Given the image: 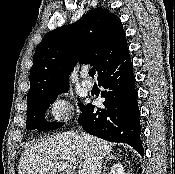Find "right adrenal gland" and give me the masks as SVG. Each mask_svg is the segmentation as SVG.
Returning a JSON list of instances; mask_svg holds the SVG:
<instances>
[{
    "instance_id": "obj_1",
    "label": "right adrenal gland",
    "mask_w": 175,
    "mask_h": 174,
    "mask_svg": "<svg viewBox=\"0 0 175 174\" xmlns=\"http://www.w3.org/2000/svg\"><path fill=\"white\" fill-rule=\"evenodd\" d=\"M113 159L116 160L117 158L114 155H111V156L105 158V162H104V165H103V173L102 174H105V172H106V164H107V162L110 161V160H113Z\"/></svg>"
}]
</instances>
